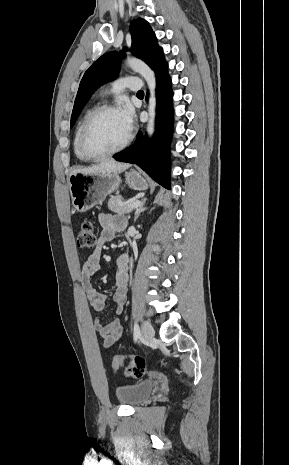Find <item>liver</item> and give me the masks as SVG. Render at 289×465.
I'll list each match as a JSON object with an SVG mask.
<instances>
[{"label":"liver","mask_w":289,"mask_h":465,"mask_svg":"<svg viewBox=\"0 0 289 465\" xmlns=\"http://www.w3.org/2000/svg\"><path fill=\"white\" fill-rule=\"evenodd\" d=\"M131 165L129 163H121L114 160H106L97 165L88 168L74 169L71 174L85 173V174H97V173H121L128 169Z\"/></svg>","instance_id":"1"}]
</instances>
